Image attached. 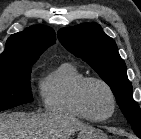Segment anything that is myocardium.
Returning a JSON list of instances; mask_svg holds the SVG:
<instances>
[{"mask_svg":"<svg viewBox=\"0 0 141 139\" xmlns=\"http://www.w3.org/2000/svg\"><path fill=\"white\" fill-rule=\"evenodd\" d=\"M90 83H98V84L102 85L108 91V93L110 95L111 111L105 117H102V118L95 117L94 115H92L90 113V111L87 107V104L85 101V91H86L87 86ZM75 97H76V102H77L80 110L83 112V114L86 116V118L91 121L104 122V121L109 120L115 113L116 106H117L116 95H115L112 87L110 86V84L100 77L88 76V77H85L84 79H82L76 87Z\"/></svg>","mask_w":141,"mask_h":139,"instance_id":"1","label":"myocardium"}]
</instances>
